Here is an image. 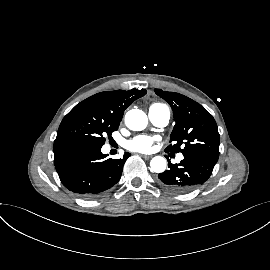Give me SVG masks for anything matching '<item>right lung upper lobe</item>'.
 Returning a JSON list of instances; mask_svg holds the SVG:
<instances>
[{
  "label": "right lung upper lobe",
  "instance_id": "1",
  "mask_svg": "<svg viewBox=\"0 0 270 270\" xmlns=\"http://www.w3.org/2000/svg\"><path fill=\"white\" fill-rule=\"evenodd\" d=\"M146 92L145 89L100 92L87 98L84 102L91 105L99 117L120 124L125 109L136 99L144 96Z\"/></svg>",
  "mask_w": 270,
  "mask_h": 270
}]
</instances>
